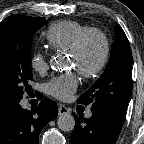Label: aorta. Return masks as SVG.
Instances as JSON below:
<instances>
[{
    "label": "aorta",
    "instance_id": "1",
    "mask_svg": "<svg viewBox=\"0 0 144 144\" xmlns=\"http://www.w3.org/2000/svg\"><path fill=\"white\" fill-rule=\"evenodd\" d=\"M50 64L53 69H60L61 67V61L59 59H51ZM57 125L60 130L69 132L75 127V119L72 115L64 113L58 117Z\"/></svg>",
    "mask_w": 144,
    "mask_h": 144
}]
</instances>
